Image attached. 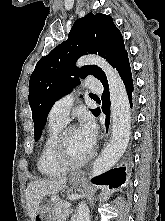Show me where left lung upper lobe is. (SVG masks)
Masks as SVG:
<instances>
[{
    "mask_svg": "<svg viewBox=\"0 0 165 221\" xmlns=\"http://www.w3.org/2000/svg\"><path fill=\"white\" fill-rule=\"evenodd\" d=\"M91 53L105 58L117 68L127 54L123 37L109 15L89 13L72 26L68 39L42 57L29 81V104L34 122L35 141L46 124L53 104L80 83L79 77L93 75L102 83L105 73L95 65L77 68L79 56ZM96 114L97 110H91Z\"/></svg>",
    "mask_w": 165,
    "mask_h": 221,
    "instance_id": "1",
    "label": "left lung upper lobe"
}]
</instances>
